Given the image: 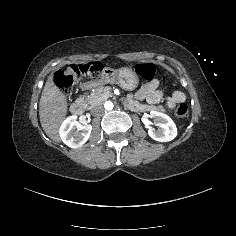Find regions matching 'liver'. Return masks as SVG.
I'll return each mask as SVG.
<instances>
[{"mask_svg": "<svg viewBox=\"0 0 236 236\" xmlns=\"http://www.w3.org/2000/svg\"><path fill=\"white\" fill-rule=\"evenodd\" d=\"M68 98L53 80L51 73L40 98L39 118L45 134L55 142H61L60 129L68 114Z\"/></svg>", "mask_w": 236, "mask_h": 236, "instance_id": "liver-1", "label": "liver"}]
</instances>
